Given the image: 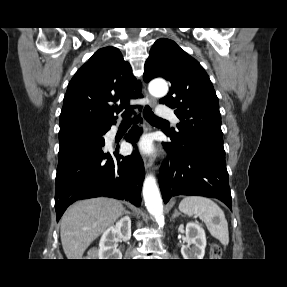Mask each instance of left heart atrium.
I'll return each instance as SVG.
<instances>
[{
    "label": "left heart atrium",
    "mask_w": 287,
    "mask_h": 287,
    "mask_svg": "<svg viewBox=\"0 0 287 287\" xmlns=\"http://www.w3.org/2000/svg\"><path fill=\"white\" fill-rule=\"evenodd\" d=\"M138 147L142 152L149 153L153 150L152 141L149 137H143L139 143Z\"/></svg>",
    "instance_id": "obj_1"
}]
</instances>
